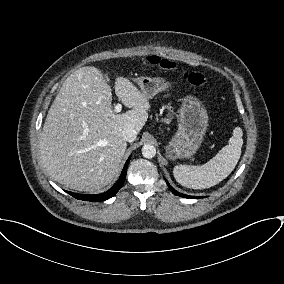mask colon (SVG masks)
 I'll return each instance as SVG.
<instances>
[{"mask_svg":"<svg viewBox=\"0 0 284 284\" xmlns=\"http://www.w3.org/2000/svg\"><path fill=\"white\" fill-rule=\"evenodd\" d=\"M148 62L152 66L176 73L184 81L188 82L190 85L194 87H201L205 84V77L201 73L186 72V71L179 70L176 64L169 59L161 58L159 56H151L148 58Z\"/></svg>","mask_w":284,"mask_h":284,"instance_id":"1","label":"colon"}]
</instances>
